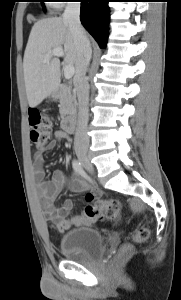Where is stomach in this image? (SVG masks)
I'll use <instances>...</instances> for the list:
<instances>
[{
	"instance_id": "stomach-1",
	"label": "stomach",
	"mask_w": 181,
	"mask_h": 300,
	"mask_svg": "<svg viewBox=\"0 0 181 300\" xmlns=\"http://www.w3.org/2000/svg\"><path fill=\"white\" fill-rule=\"evenodd\" d=\"M57 96L56 92H53L51 95H50V98H55Z\"/></svg>"
}]
</instances>
